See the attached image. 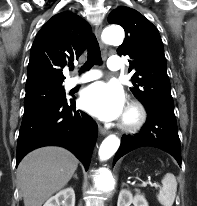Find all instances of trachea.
<instances>
[{
    "instance_id": "obj_1",
    "label": "trachea",
    "mask_w": 197,
    "mask_h": 206,
    "mask_svg": "<svg viewBox=\"0 0 197 206\" xmlns=\"http://www.w3.org/2000/svg\"><path fill=\"white\" fill-rule=\"evenodd\" d=\"M101 53L98 41L95 36H91L88 45V57L87 62L81 68V72L89 70L95 64H101Z\"/></svg>"
}]
</instances>
